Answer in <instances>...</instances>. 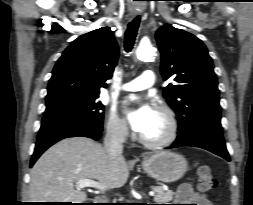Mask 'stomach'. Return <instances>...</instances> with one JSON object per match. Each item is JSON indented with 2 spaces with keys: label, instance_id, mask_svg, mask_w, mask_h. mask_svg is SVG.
<instances>
[{
  "label": "stomach",
  "instance_id": "obj_1",
  "mask_svg": "<svg viewBox=\"0 0 253 205\" xmlns=\"http://www.w3.org/2000/svg\"><path fill=\"white\" fill-rule=\"evenodd\" d=\"M143 170L157 181L169 183L180 179L187 171L186 159L175 152L161 151L142 162Z\"/></svg>",
  "mask_w": 253,
  "mask_h": 205
}]
</instances>
